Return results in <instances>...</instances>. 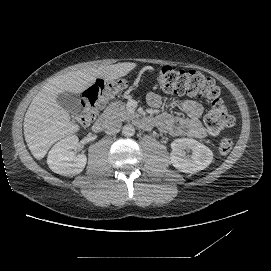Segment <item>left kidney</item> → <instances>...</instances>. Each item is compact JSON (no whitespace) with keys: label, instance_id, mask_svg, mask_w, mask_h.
<instances>
[{"label":"left kidney","instance_id":"5707ae66","mask_svg":"<svg viewBox=\"0 0 271 271\" xmlns=\"http://www.w3.org/2000/svg\"><path fill=\"white\" fill-rule=\"evenodd\" d=\"M171 148L173 165L185 173H196L206 168L213 159L212 151L193 139H176L171 143Z\"/></svg>","mask_w":271,"mask_h":271}]
</instances>
